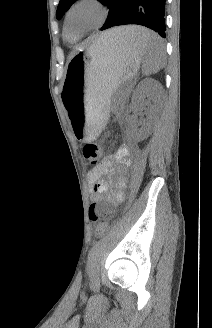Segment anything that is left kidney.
<instances>
[{
  "label": "left kidney",
  "instance_id": "1",
  "mask_svg": "<svg viewBox=\"0 0 212 328\" xmlns=\"http://www.w3.org/2000/svg\"><path fill=\"white\" fill-rule=\"evenodd\" d=\"M160 84L153 79H145L143 80L135 89L132 100H131V109L134 113H136L143 105V102L146 97H150L152 100H156L159 96ZM152 112L150 111V114ZM138 123L136 115H133L129 119V125L134 127ZM153 128V122L149 121L142 124V127L136 130V137L140 140L148 137L151 134Z\"/></svg>",
  "mask_w": 212,
  "mask_h": 328
}]
</instances>
